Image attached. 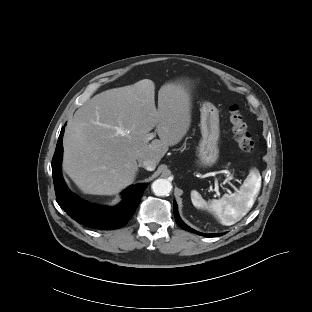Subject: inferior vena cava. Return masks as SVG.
<instances>
[{
  "mask_svg": "<svg viewBox=\"0 0 312 312\" xmlns=\"http://www.w3.org/2000/svg\"><path fill=\"white\" fill-rule=\"evenodd\" d=\"M138 163L140 167L145 168L148 171H153L156 168V161L154 159H142V158H138Z\"/></svg>",
  "mask_w": 312,
  "mask_h": 312,
  "instance_id": "602c4592",
  "label": "inferior vena cava"
}]
</instances>
